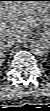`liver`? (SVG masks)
<instances>
[{"label": "liver", "mask_w": 50, "mask_h": 111, "mask_svg": "<svg viewBox=\"0 0 50 111\" xmlns=\"http://www.w3.org/2000/svg\"><path fill=\"white\" fill-rule=\"evenodd\" d=\"M49 19V3L28 0L3 1L0 5V48L10 37L22 42L30 37L33 27Z\"/></svg>", "instance_id": "6515ba94"}]
</instances>
